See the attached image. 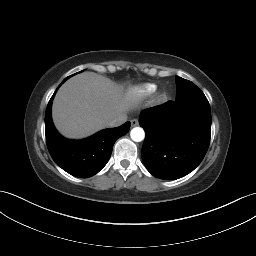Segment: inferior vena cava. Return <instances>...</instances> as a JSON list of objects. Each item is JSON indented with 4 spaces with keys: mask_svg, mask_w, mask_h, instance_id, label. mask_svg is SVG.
Wrapping results in <instances>:
<instances>
[{
    "mask_svg": "<svg viewBox=\"0 0 256 256\" xmlns=\"http://www.w3.org/2000/svg\"><path fill=\"white\" fill-rule=\"evenodd\" d=\"M126 121H127V115L122 114V115H119L118 117H116L115 119H113L112 121H110L108 123V126L109 127H117V126L122 125Z\"/></svg>",
    "mask_w": 256,
    "mask_h": 256,
    "instance_id": "602c4592",
    "label": "inferior vena cava"
}]
</instances>
